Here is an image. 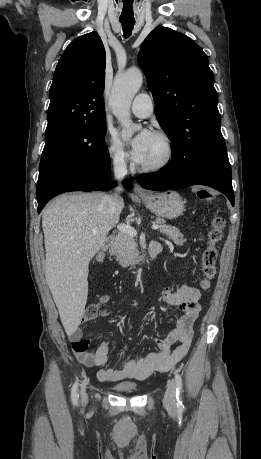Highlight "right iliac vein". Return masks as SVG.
Returning a JSON list of instances; mask_svg holds the SVG:
<instances>
[{"instance_id": "obj_1", "label": "right iliac vein", "mask_w": 261, "mask_h": 459, "mask_svg": "<svg viewBox=\"0 0 261 459\" xmlns=\"http://www.w3.org/2000/svg\"><path fill=\"white\" fill-rule=\"evenodd\" d=\"M80 395H81L82 404H86L87 401H88V397H87V394H86L85 386H83L81 388Z\"/></svg>"}]
</instances>
